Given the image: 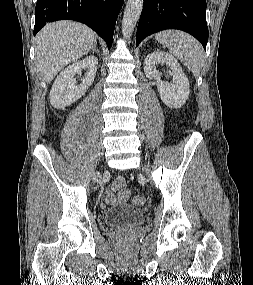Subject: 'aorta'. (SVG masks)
Segmentation results:
<instances>
[{
    "label": "aorta",
    "instance_id": "aorta-1",
    "mask_svg": "<svg viewBox=\"0 0 253 285\" xmlns=\"http://www.w3.org/2000/svg\"><path fill=\"white\" fill-rule=\"evenodd\" d=\"M143 9V0H128L122 19V35L129 38L140 18Z\"/></svg>",
    "mask_w": 253,
    "mask_h": 285
}]
</instances>
